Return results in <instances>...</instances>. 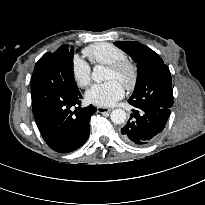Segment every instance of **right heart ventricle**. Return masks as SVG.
Segmentation results:
<instances>
[{"label":"right heart ventricle","instance_id":"1","mask_svg":"<svg viewBox=\"0 0 205 205\" xmlns=\"http://www.w3.org/2000/svg\"><path fill=\"white\" fill-rule=\"evenodd\" d=\"M84 55L94 65H110L127 59V54L118 46L108 42H98L87 46Z\"/></svg>","mask_w":205,"mask_h":205}]
</instances>
